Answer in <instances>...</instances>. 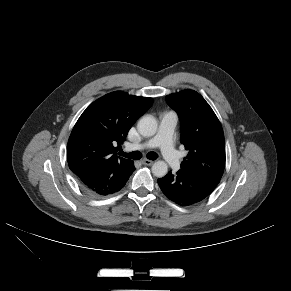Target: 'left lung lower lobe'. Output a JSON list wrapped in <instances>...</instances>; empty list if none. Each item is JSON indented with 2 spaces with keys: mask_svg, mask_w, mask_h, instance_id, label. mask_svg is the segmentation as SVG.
<instances>
[{
  "mask_svg": "<svg viewBox=\"0 0 291 291\" xmlns=\"http://www.w3.org/2000/svg\"><path fill=\"white\" fill-rule=\"evenodd\" d=\"M158 184L168 199L181 206L200 202L217 186L212 181L182 169L176 174L169 172L158 179Z\"/></svg>",
  "mask_w": 291,
  "mask_h": 291,
  "instance_id": "0a47b994",
  "label": "left lung lower lobe"
}]
</instances>
